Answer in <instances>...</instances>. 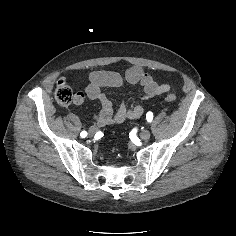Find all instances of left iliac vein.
I'll list each match as a JSON object with an SVG mask.
<instances>
[{"instance_id":"obj_1","label":"left iliac vein","mask_w":236,"mask_h":236,"mask_svg":"<svg viewBox=\"0 0 236 236\" xmlns=\"http://www.w3.org/2000/svg\"><path fill=\"white\" fill-rule=\"evenodd\" d=\"M139 135L142 140H148L151 136L148 130H142Z\"/></svg>"}]
</instances>
